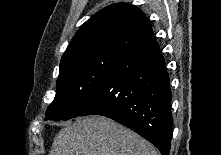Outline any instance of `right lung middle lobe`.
Instances as JSON below:
<instances>
[{
	"instance_id": "1",
	"label": "right lung middle lobe",
	"mask_w": 221,
	"mask_h": 155,
	"mask_svg": "<svg viewBox=\"0 0 221 155\" xmlns=\"http://www.w3.org/2000/svg\"><path fill=\"white\" fill-rule=\"evenodd\" d=\"M124 56L102 53L73 61L60 70L56 96L45 113V120L79 116Z\"/></svg>"
}]
</instances>
